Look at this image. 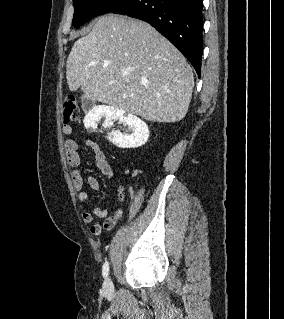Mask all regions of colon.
<instances>
[{
    "label": "colon",
    "mask_w": 284,
    "mask_h": 319,
    "mask_svg": "<svg viewBox=\"0 0 284 319\" xmlns=\"http://www.w3.org/2000/svg\"><path fill=\"white\" fill-rule=\"evenodd\" d=\"M80 116V107L72 94H67L63 100V119L65 123L77 120Z\"/></svg>",
    "instance_id": "colon-1"
}]
</instances>
